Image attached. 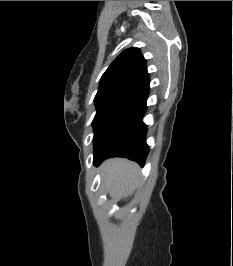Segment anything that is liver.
<instances>
[{"label":"liver","mask_w":233,"mask_h":266,"mask_svg":"<svg viewBox=\"0 0 233 266\" xmlns=\"http://www.w3.org/2000/svg\"><path fill=\"white\" fill-rule=\"evenodd\" d=\"M102 180L112 197L127 198L139 183V166L127 159L113 158L101 166Z\"/></svg>","instance_id":"obj_1"}]
</instances>
